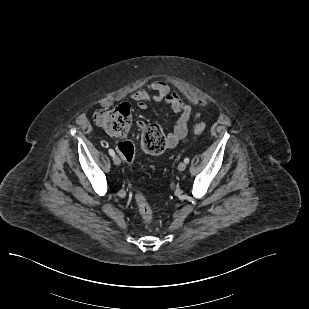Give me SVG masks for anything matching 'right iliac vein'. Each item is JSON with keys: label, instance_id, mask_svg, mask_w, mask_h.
Returning a JSON list of instances; mask_svg holds the SVG:
<instances>
[{"label": "right iliac vein", "instance_id": "obj_1", "mask_svg": "<svg viewBox=\"0 0 309 309\" xmlns=\"http://www.w3.org/2000/svg\"><path fill=\"white\" fill-rule=\"evenodd\" d=\"M113 162L116 166H119L121 164V160L118 156L113 157Z\"/></svg>", "mask_w": 309, "mask_h": 309}]
</instances>
